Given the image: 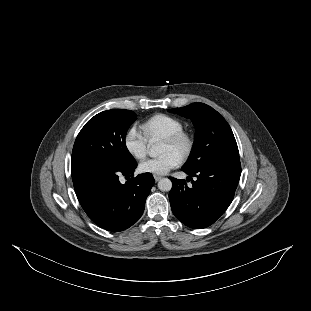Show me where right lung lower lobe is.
<instances>
[{
  "label": "right lung lower lobe",
  "instance_id": "1",
  "mask_svg": "<svg viewBox=\"0 0 311 311\" xmlns=\"http://www.w3.org/2000/svg\"><path fill=\"white\" fill-rule=\"evenodd\" d=\"M137 163L121 167L87 161L71 167L77 198L88 217L101 228L118 232L138 221L155 180L150 173L121 184L118 175L133 174Z\"/></svg>",
  "mask_w": 311,
  "mask_h": 311
}]
</instances>
